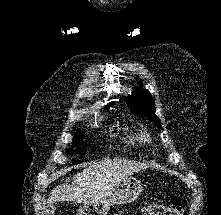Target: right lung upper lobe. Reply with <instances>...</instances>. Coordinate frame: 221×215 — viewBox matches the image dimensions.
<instances>
[{
	"label": "right lung upper lobe",
	"mask_w": 221,
	"mask_h": 215,
	"mask_svg": "<svg viewBox=\"0 0 221 215\" xmlns=\"http://www.w3.org/2000/svg\"><path fill=\"white\" fill-rule=\"evenodd\" d=\"M113 105V102L109 103L107 106H106V109H109L110 106Z\"/></svg>",
	"instance_id": "1"
}]
</instances>
